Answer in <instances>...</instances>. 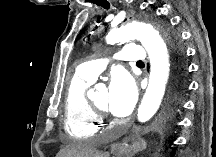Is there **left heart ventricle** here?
<instances>
[{
    "mask_svg": "<svg viewBox=\"0 0 216 157\" xmlns=\"http://www.w3.org/2000/svg\"><path fill=\"white\" fill-rule=\"evenodd\" d=\"M100 107L107 109V100H108V92L107 90H103L97 92L96 96L93 99Z\"/></svg>",
    "mask_w": 216,
    "mask_h": 157,
    "instance_id": "left-heart-ventricle-1",
    "label": "left heart ventricle"
}]
</instances>
